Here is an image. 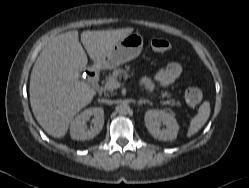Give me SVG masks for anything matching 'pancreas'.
<instances>
[{"label": "pancreas", "mask_w": 249, "mask_h": 188, "mask_svg": "<svg viewBox=\"0 0 249 188\" xmlns=\"http://www.w3.org/2000/svg\"><path fill=\"white\" fill-rule=\"evenodd\" d=\"M129 71H130V66H126V70H123L121 68L115 69L108 77H106L105 85L111 84V83H113L115 81H118L122 77L128 78V76H129L128 72ZM103 91L105 93H108V92H112L113 89L103 88ZM161 94H162L163 97H170L171 96L167 91H163ZM169 103H171V106H180L181 105L180 101H175V100H172V99L169 100Z\"/></svg>", "instance_id": "cf45deb5"}]
</instances>
